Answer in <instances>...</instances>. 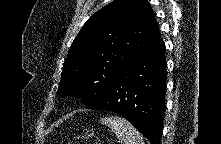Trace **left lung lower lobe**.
Masks as SVG:
<instances>
[{
  "mask_svg": "<svg viewBox=\"0 0 221 144\" xmlns=\"http://www.w3.org/2000/svg\"><path fill=\"white\" fill-rule=\"evenodd\" d=\"M165 44L157 32L147 46L114 78L88 109L126 118L151 144H160L166 92Z\"/></svg>",
  "mask_w": 221,
  "mask_h": 144,
  "instance_id": "0a47b994",
  "label": "left lung lower lobe"
}]
</instances>
